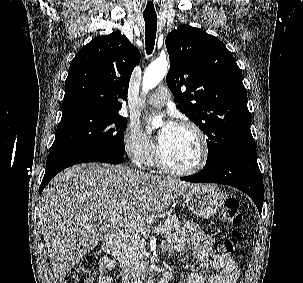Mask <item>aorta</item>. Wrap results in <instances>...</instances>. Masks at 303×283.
<instances>
[{"instance_id": "obj_1", "label": "aorta", "mask_w": 303, "mask_h": 283, "mask_svg": "<svg viewBox=\"0 0 303 283\" xmlns=\"http://www.w3.org/2000/svg\"><path fill=\"white\" fill-rule=\"evenodd\" d=\"M169 69V64L166 59H158L149 65L145 70L143 76V92L147 93L152 88L156 87L160 81L165 77ZM162 125V121L159 118L153 120V127H159ZM151 129V130H152Z\"/></svg>"}]
</instances>
